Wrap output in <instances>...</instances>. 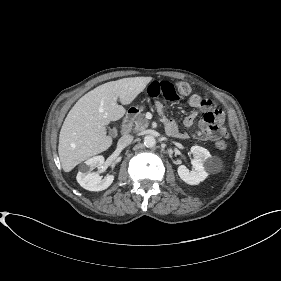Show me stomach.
Wrapping results in <instances>:
<instances>
[{
  "label": "stomach",
  "mask_w": 281,
  "mask_h": 281,
  "mask_svg": "<svg viewBox=\"0 0 281 281\" xmlns=\"http://www.w3.org/2000/svg\"><path fill=\"white\" fill-rule=\"evenodd\" d=\"M144 107L143 106H140V107H135V111L134 113L135 114H139L141 111H143Z\"/></svg>",
  "instance_id": "1"
}]
</instances>
